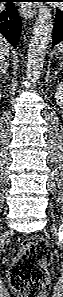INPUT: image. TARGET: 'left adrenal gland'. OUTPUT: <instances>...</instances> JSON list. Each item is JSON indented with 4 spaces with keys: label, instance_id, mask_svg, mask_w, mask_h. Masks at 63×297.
Wrapping results in <instances>:
<instances>
[{
    "label": "left adrenal gland",
    "instance_id": "a2214340",
    "mask_svg": "<svg viewBox=\"0 0 63 297\" xmlns=\"http://www.w3.org/2000/svg\"><path fill=\"white\" fill-rule=\"evenodd\" d=\"M59 70H62V63L59 64V68L58 70L55 72V74H57L59 72Z\"/></svg>",
    "mask_w": 63,
    "mask_h": 297
}]
</instances>
